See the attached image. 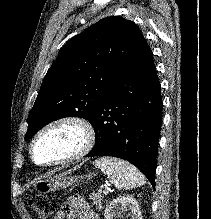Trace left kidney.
Wrapping results in <instances>:
<instances>
[{"mask_svg": "<svg viewBox=\"0 0 211 219\" xmlns=\"http://www.w3.org/2000/svg\"><path fill=\"white\" fill-rule=\"evenodd\" d=\"M129 212L131 219H142L138 202L132 196H120L112 200L105 209V219L123 218Z\"/></svg>", "mask_w": 211, "mask_h": 219, "instance_id": "obj_1", "label": "left kidney"}]
</instances>
